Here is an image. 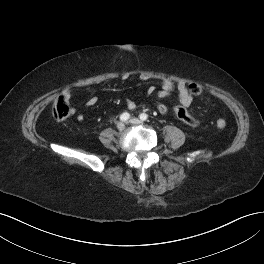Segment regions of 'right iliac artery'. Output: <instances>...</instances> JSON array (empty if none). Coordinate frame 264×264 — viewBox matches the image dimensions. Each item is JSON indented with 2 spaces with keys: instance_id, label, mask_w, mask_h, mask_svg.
I'll use <instances>...</instances> for the list:
<instances>
[{
  "instance_id": "obj_1",
  "label": "right iliac artery",
  "mask_w": 264,
  "mask_h": 264,
  "mask_svg": "<svg viewBox=\"0 0 264 264\" xmlns=\"http://www.w3.org/2000/svg\"><path fill=\"white\" fill-rule=\"evenodd\" d=\"M129 118H130V114L127 113V112L123 113V114L120 116V120L123 121V122L127 121Z\"/></svg>"
}]
</instances>
